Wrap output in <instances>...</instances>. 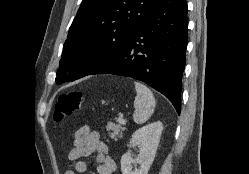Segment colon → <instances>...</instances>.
I'll return each instance as SVG.
<instances>
[{"label":"colon","instance_id":"obj_1","mask_svg":"<svg viewBox=\"0 0 249 174\" xmlns=\"http://www.w3.org/2000/svg\"><path fill=\"white\" fill-rule=\"evenodd\" d=\"M84 101V93L79 89H72L62 93L56 103L54 118L61 121L70 117L80 109Z\"/></svg>","mask_w":249,"mask_h":174}]
</instances>
